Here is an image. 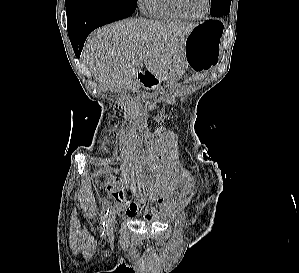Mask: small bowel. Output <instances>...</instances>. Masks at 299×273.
I'll list each match as a JSON object with an SVG mask.
<instances>
[{"instance_id": "obj_1", "label": "small bowel", "mask_w": 299, "mask_h": 273, "mask_svg": "<svg viewBox=\"0 0 299 273\" xmlns=\"http://www.w3.org/2000/svg\"><path fill=\"white\" fill-rule=\"evenodd\" d=\"M108 190H110L115 197V199L125 206L126 214L130 217L136 216L142 208L143 202L129 201L125 191L117 190L107 184ZM157 202L161 203L162 198L158 197ZM144 218L150 220L152 217L149 214L144 215Z\"/></svg>"}]
</instances>
